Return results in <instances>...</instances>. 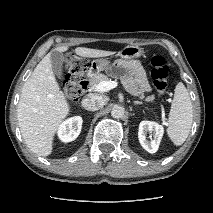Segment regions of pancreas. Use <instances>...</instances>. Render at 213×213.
<instances>
[{
	"label": "pancreas",
	"mask_w": 213,
	"mask_h": 213,
	"mask_svg": "<svg viewBox=\"0 0 213 213\" xmlns=\"http://www.w3.org/2000/svg\"><path fill=\"white\" fill-rule=\"evenodd\" d=\"M102 81H109V78L104 74H94L89 78V84L92 90H94L95 86ZM140 99H144V96H140ZM155 99L154 95L145 97V102H152Z\"/></svg>",
	"instance_id": "cf45deb5"
}]
</instances>
